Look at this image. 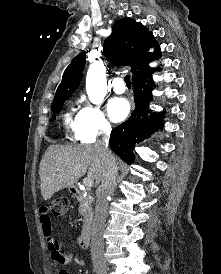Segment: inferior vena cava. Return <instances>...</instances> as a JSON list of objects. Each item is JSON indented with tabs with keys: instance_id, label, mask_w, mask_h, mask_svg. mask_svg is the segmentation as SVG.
Masks as SVG:
<instances>
[{
	"instance_id": "602c4592",
	"label": "inferior vena cava",
	"mask_w": 221,
	"mask_h": 274,
	"mask_svg": "<svg viewBox=\"0 0 221 274\" xmlns=\"http://www.w3.org/2000/svg\"><path fill=\"white\" fill-rule=\"evenodd\" d=\"M104 136L96 144L105 163V169L101 185L97 190V200L95 208V216L92 224V238H91V256L93 260L103 256V230L105 228L107 211H108V197L114 192L117 165L113 154L108 149L109 136L111 133V126H105Z\"/></svg>"
}]
</instances>
